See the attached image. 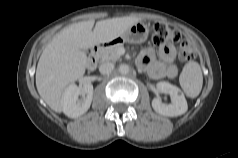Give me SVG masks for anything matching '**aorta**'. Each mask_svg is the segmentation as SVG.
<instances>
[{"instance_id":"aorta-1","label":"aorta","mask_w":238,"mask_h":158,"mask_svg":"<svg viewBox=\"0 0 238 158\" xmlns=\"http://www.w3.org/2000/svg\"><path fill=\"white\" fill-rule=\"evenodd\" d=\"M119 72H120V74H122V75L128 74V73H129V67H128V65H126V64H121V65L119 66Z\"/></svg>"}]
</instances>
